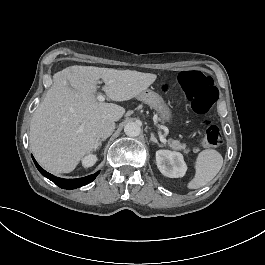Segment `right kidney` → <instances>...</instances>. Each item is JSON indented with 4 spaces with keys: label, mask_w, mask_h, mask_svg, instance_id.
Returning a JSON list of instances; mask_svg holds the SVG:
<instances>
[{
    "label": "right kidney",
    "mask_w": 265,
    "mask_h": 265,
    "mask_svg": "<svg viewBox=\"0 0 265 265\" xmlns=\"http://www.w3.org/2000/svg\"><path fill=\"white\" fill-rule=\"evenodd\" d=\"M81 161H82L83 167L89 168V167H92L96 163L97 156L94 154H88L84 156Z\"/></svg>",
    "instance_id": "1"
}]
</instances>
